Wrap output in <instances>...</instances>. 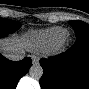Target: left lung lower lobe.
Returning a JSON list of instances; mask_svg holds the SVG:
<instances>
[{"label": "left lung lower lobe", "instance_id": "1", "mask_svg": "<svg viewBox=\"0 0 89 89\" xmlns=\"http://www.w3.org/2000/svg\"><path fill=\"white\" fill-rule=\"evenodd\" d=\"M89 37L80 36L66 52L42 58L41 89H89ZM65 75L62 77L61 75Z\"/></svg>", "mask_w": 89, "mask_h": 89}]
</instances>
